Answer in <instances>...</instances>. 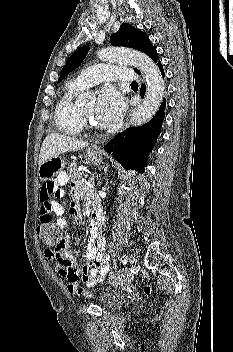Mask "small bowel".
I'll return each instance as SVG.
<instances>
[{
    "instance_id": "1",
    "label": "small bowel",
    "mask_w": 233,
    "mask_h": 352,
    "mask_svg": "<svg viewBox=\"0 0 233 352\" xmlns=\"http://www.w3.org/2000/svg\"><path fill=\"white\" fill-rule=\"evenodd\" d=\"M69 177L67 173L61 172L52 181L43 183L40 191L41 223H52L58 226L65 234L64 243L62 245L48 248L44 251L47 259H49L59 273L67 280V288L69 292L75 293L80 282L91 287L102 281L110 271L109 257L106 253V238L104 235V218L102 214L93 217L90 223V236L88 239L85 257L91 263L83 268H78L75 256L71 255L68 250L69 235L66 233L67 221L62 218L65 207L56 200L63 197L64 186L68 183ZM72 204L70 214L75 222H80L81 211L79 208V200L86 197L93 200L91 192L83 190L81 186L74 182L71 186ZM53 215L57 218L54 219Z\"/></svg>"
}]
</instances>
